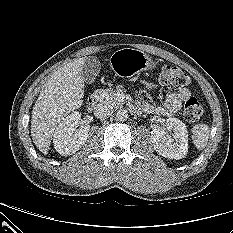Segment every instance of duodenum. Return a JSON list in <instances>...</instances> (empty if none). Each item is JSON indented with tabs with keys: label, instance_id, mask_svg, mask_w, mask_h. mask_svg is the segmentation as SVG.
I'll list each match as a JSON object with an SVG mask.
<instances>
[{
	"label": "duodenum",
	"instance_id": "obj_1",
	"mask_svg": "<svg viewBox=\"0 0 233 233\" xmlns=\"http://www.w3.org/2000/svg\"><path fill=\"white\" fill-rule=\"evenodd\" d=\"M99 98L96 95H92L88 98L87 107L89 110H93L97 107Z\"/></svg>",
	"mask_w": 233,
	"mask_h": 233
}]
</instances>
